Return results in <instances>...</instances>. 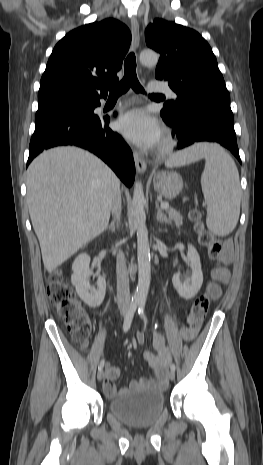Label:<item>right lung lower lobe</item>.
I'll list each match as a JSON object with an SVG mask.
<instances>
[{
    "instance_id": "98d812e1",
    "label": "right lung lower lobe",
    "mask_w": 263,
    "mask_h": 465,
    "mask_svg": "<svg viewBox=\"0 0 263 465\" xmlns=\"http://www.w3.org/2000/svg\"><path fill=\"white\" fill-rule=\"evenodd\" d=\"M99 105V99H96L87 111L66 109L36 115L27 166L44 149L75 145L96 154L126 186H132L135 164L131 149L118 133L108 127V116L103 118L93 114Z\"/></svg>"
}]
</instances>
